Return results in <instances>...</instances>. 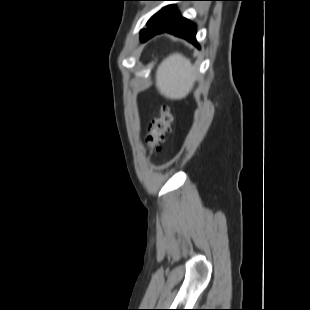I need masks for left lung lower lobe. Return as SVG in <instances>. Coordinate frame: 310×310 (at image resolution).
Segmentation results:
<instances>
[{
	"mask_svg": "<svg viewBox=\"0 0 310 310\" xmlns=\"http://www.w3.org/2000/svg\"><path fill=\"white\" fill-rule=\"evenodd\" d=\"M163 32L171 33L174 34L175 36L182 37L190 42H193L199 48V45L197 44L195 39L196 26L192 22L181 16H177L175 20L168 26L160 28L159 30L150 34L148 37L144 39V41H147L154 35Z\"/></svg>",
	"mask_w": 310,
	"mask_h": 310,
	"instance_id": "obj_1",
	"label": "left lung lower lobe"
}]
</instances>
